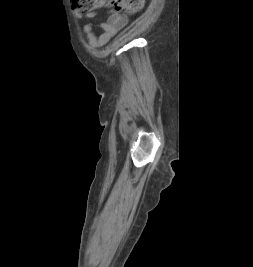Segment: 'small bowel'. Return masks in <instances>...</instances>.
<instances>
[{"label": "small bowel", "instance_id": "1", "mask_svg": "<svg viewBox=\"0 0 253 267\" xmlns=\"http://www.w3.org/2000/svg\"><path fill=\"white\" fill-rule=\"evenodd\" d=\"M93 16V14L88 15ZM128 23V17L124 14L111 13L105 22L98 25L88 23L84 26L89 44L93 48L103 47ZM95 29L100 31L95 33Z\"/></svg>", "mask_w": 253, "mask_h": 267}]
</instances>
